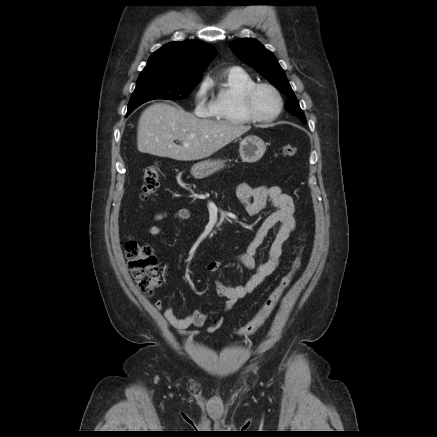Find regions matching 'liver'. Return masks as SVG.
Masks as SVG:
<instances>
[{"label":"liver","mask_w":437,"mask_h":437,"mask_svg":"<svg viewBox=\"0 0 437 437\" xmlns=\"http://www.w3.org/2000/svg\"><path fill=\"white\" fill-rule=\"evenodd\" d=\"M251 129L226 121L200 119L182 108L155 103L141 114L137 148L141 153L181 161L207 158ZM179 140L182 145L174 143ZM184 144H188L185 147Z\"/></svg>","instance_id":"6515ba94"}]
</instances>
